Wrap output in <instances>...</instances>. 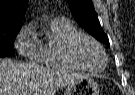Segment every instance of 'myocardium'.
Instances as JSON below:
<instances>
[{
  "mask_svg": "<svg viewBox=\"0 0 135 95\" xmlns=\"http://www.w3.org/2000/svg\"><path fill=\"white\" fill-rule=\"evenodd\" d=\"M82 40H86V41L91 42L100 50V52L103 56V59H104V64L101 68H99V69L90 68V67L84 65L79 60V58L76 55V47ZM64 54H65V57L67 58V60H69L71 63H73L74 65H76L80 69L87 70V71L92 72V73L102 72L106 68L107 63H108V57H107V54H106L104 48L102 47V45L97 40H95L93 37L86 35V34H83V33H78V34L72 36L67 41L65 48H64Z\"/></svg>",
  "mask_w": 135,
  "mask_h": 95,
  "instance_id": "obj_1",
  "label": "myocardium"
}]
</instances>
